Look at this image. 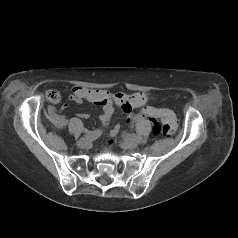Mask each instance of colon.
<instances>
[{
    "label": "colon",
    "instance_id": "obj_1",
    "mask_svg": "<svg viewBox=\"0 0 238 238\" xmlns=\"http://www.w3.org/2000/svg\"><path fill=\"white\" fill-rule=\"evenodd\" d=\"M46 97L51 103L54 104H57L60 101V95L55 90L47 91ZM141 115L151 120H162L161 125L157 123L154 124V135L163 134L165 136H172L177 130V120L175 116L168 110L157 109L154 107H145L142 109Z\"/></svg>",
    "mask_w": 238,
    "mask_h": 238
}]
</instances>
